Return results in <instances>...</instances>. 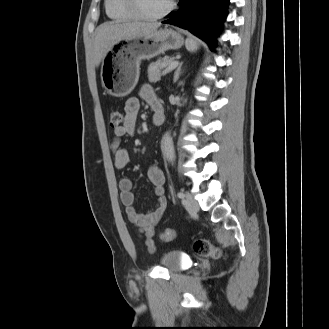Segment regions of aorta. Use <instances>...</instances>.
Masks as SVG:
<instances>
[{
    "instance_id": "aorta-1",
    "label": "aorta",
    "mask_w": 329,
    "mask_h": 329,
    "mask_svg": "<svg viewBox=\"0 0 329 329\" xmlns=\"http://www.w3.org/2000/svg\"><path fill=\"white\" fill-rule=\"evenodd\" d=\"M162 147L168 161L172 162L175 158L172 137L166 133L162 138Z\"/></svg>"
}]
</instances>
